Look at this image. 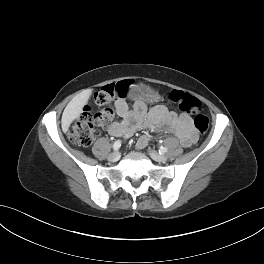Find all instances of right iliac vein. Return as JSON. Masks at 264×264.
Instances as JSON below:
<instances>
[{
  "mask_svg": "<svg viewBox=\"0 0 264 264\" xmlns=\"http://www.w3.org/2000/svg\"><path fill=\"white\" fill-rule=\"evenodd\" d=\"M120 158V153L119 152H113L108 156V159L112 162L118 161Z\"/></svg>",
  "mask_w": 264,
  "mask_h": 264,
  "instance_id": "obj_1",
  "label": "right iliac vein"
}]
</instances>
